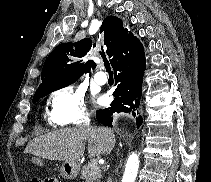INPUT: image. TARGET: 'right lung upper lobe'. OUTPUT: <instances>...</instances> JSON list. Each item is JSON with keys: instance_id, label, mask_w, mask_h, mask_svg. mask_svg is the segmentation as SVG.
<instances>
[{"instance_id": "1", "label": "right lung upper lobe", "mask_w": 211, "mask_h": 182, "mask_svg": "<svg viewBox=\"0 0 211 182\" xmlns=\"http://www.w3.org/2000/svg\"><path fill=\"white\" fill-rule=\"evenodd\" d=\"M100 33H104V45L110 58L112 67L116 63L119 52L133 37L131 32L123 27L122 21L115 16H107L101 25ZM95 44H93L94 47ZM92 47V40L85 38L75 43H62L58 45L47 57L42 73V83L36 94L49 88L66 85L76 81L81 75L94 69L93 61L85 63L73 62L71 57H83Z\"/></svg>"}]
</instances>
